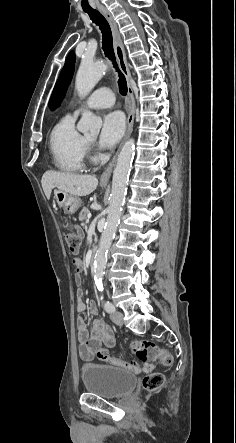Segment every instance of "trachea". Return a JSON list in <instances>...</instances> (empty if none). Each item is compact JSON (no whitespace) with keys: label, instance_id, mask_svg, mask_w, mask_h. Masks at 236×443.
<instances>
[{"label":"trachea","instance_id":"obj_1","mask_svg":"<svg viewBox=\"0 0 236 443\" xmlns=\"http://www.w3.org/2000/svg\"><path fill=\"white\" fill-rule=\"evenodd\" d=\"M86 13L90 16L91 20L99 26V29L102 33V49L105 53V56L108 57L114 65V68L119 74L118 86L121 95L127 94V82L125 76L119 71L117 63L115 62V54L113 50V39L112 32L107 20L94 9H84Z\"/></svg>","mask_w":236,"mask_h":443}]
</instances>
